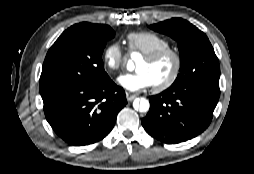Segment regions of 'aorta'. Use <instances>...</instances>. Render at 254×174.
I'll return each instance as SVG.
<instances>
[{
	"mask_svg": "<svg viewBox=\"0 0 254 174\" xmlns=\"http://www.w3.org/2000/svg\"><path fill=\"white\" fill-rule=\"evenodd\" d=\"M135 54H133L134 56ZM127 69L132 71L134 69V62L129 60L127 63ZM135 109L139 110L140 112H147L149 110L150 104L146 98L136 99L133 103Z\"/></svg>",
	"mask_w": 254,
	"mask_h": 174,
	"instance_id": "762f6f07",
	"label": "aorta"
}]
</instances>
